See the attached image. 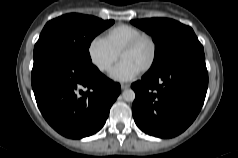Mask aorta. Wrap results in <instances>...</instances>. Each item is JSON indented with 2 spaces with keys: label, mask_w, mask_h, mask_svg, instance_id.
Returning <instances> with one entry per match:
<instances>
[{
  "label": "aorta",
  "mask_w": 238,
  "mask_h": 158,
  "mask_svg": "<svg viewBox=\"0 0 238 158\" xmlns=\"http://www.w3.org/2000/svg\"><path fill=\"white\" fill-rule=\"evenodd\" d=\"M123 99L127 102H133L135 99V92L132 89H126L122 93Z\"/></svg>",
  "instance_id": "obj_1"
}]
</instances>
